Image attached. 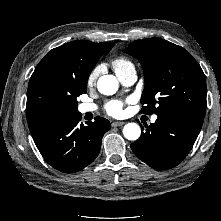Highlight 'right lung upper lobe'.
<instances>
[{
    "mask_svg": "<svg viewBox=\"0 0 221 221\" xmlns=\"http://www.w3.org/2000/svg\"><path fill=\"white\" fill-rule=\"evenodd\" d=\"M113 46L112 42L77 40L48 52L29 81L26 105L28 123L39 117L64 111L69 106L70 79H76L77 63L91 59L104 50H111Z\"/></svg>",
    "mask_w": 221,
    "mask_h": 221,
    "instance_id": "obj_1",
    "label": "right lung upper lobe"
}]
</instances>
